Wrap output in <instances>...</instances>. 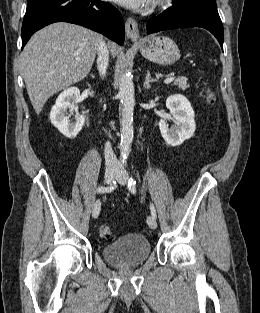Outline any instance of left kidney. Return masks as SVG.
<instances>
[{"instance_id": "5707ae66", "label": "left kidney", "mask_w": 260, "mask_h": 313, "mask_svg": "<svg viewBox=\"0 0 260 313\" xmlns=\"http://www.w3.org/2000/svg\"><path fill=\"white\" fill-rule=\"evenodd\" d=\"M166 107L175 120V124L169 127L167 118L161 119L159 121L161 135L170 146H179L185 140L190 139L195 132L194 110L188 99L180 94L169 96L166 99Z\"/></svg>"}]
</instances>
